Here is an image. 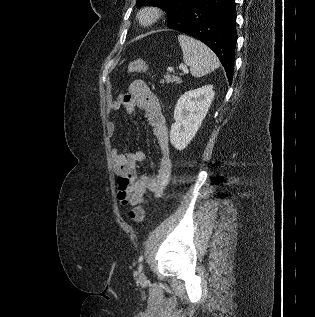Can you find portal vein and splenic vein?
<instances>
[{
    "mask_svg": "<svg viewBox=\"0 0 315 317\" xmlns=\"http://www.w3.org/2000/svg\"><path fill=\"white\" fill-rule=\"evenodd\" d=\"M168 70H172L171 68H168ZM189 71H188V69L187 68H185V69H183V73L184 74H187Z\"/></svg>",
    "mask_w": 315,
    "mask_h": 317,
    "instance_id": "1",
    "label": "portal vein and splenic vein"
}]
</instances>
